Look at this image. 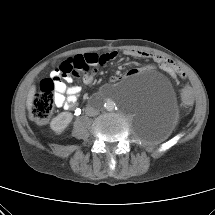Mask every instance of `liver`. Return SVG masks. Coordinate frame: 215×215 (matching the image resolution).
<instances>
[{"label": "liver", "instance_id": "obj_1", "mask_svg": "<svg viewBox=\"0 0 215 215\" xmlns=\"http://www.w3.org/2000/svg\"><path fill=\"white\" fill-rule=\"evenodd\" d=\"M35 92H36V87L34 85H32L28 92L27 101H26V106L29 111H31L32 106H33Z\"/></svg>", "mask_w": 215, "mask_h": 215}]
</instances>
